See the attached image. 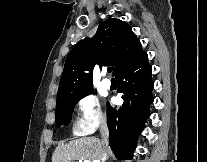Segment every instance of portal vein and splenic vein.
<instances>
[{
	"label": "portal vein and splenic vein",
	"instance_id": "portal-vein-and-splenic-vein-1",
	"mask_svg": "<svg viewBox=\"0 0 207 162\" xmlns=\"http://www.w3.org/2000/svg\"><path fill=\"white\" fill-rule=\"evenodd\" d=\"M79 162H91L90 160H79ZM92 162H99V161H97V160H95V161H92Z\"/></svg>",
	"mask_w": 207,
	"mask_h": 162
}]
</instances>
